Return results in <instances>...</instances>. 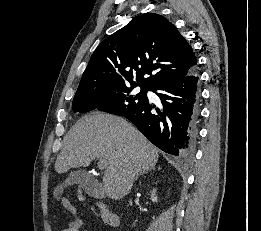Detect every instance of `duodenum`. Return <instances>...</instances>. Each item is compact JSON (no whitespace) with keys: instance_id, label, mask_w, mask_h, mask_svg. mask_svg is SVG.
Returning <instances> with one entry per match:
<instances>
[{"instance_id":"obj_1","label":"duodenum","mask_w":261,"mask_h":231,"mask_svg":"<svg viewBox=\"0 0 261 231\" xmlns=\"http://www.w3.org/2000/svg\"><path fill=\"white\" fill-rule=\"evenodd\" d=\"M101 213H102V215H103L105 221H106L109 225H111V226H113V227L118 226V223H119V222H118L117 216H116L114 213H112L111 211H109L105 206H102Z\"/></svg>"}]
</instances>
